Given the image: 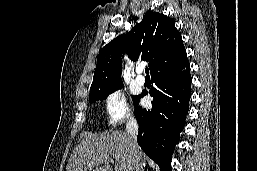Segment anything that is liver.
<instances>
[{"mask_svg":"<svg viewBox=\"0 0 257 171\" xmlns=\"http://www.w3.org/2000/svg\"><path fill=\"white\" fill-rule=\"evenodd\" d=\"M81 142L73 150L66 171H131L130 140L125 132L112 131L101 134H81ZM143 152L139 148V157ZM104 165V166H103Z\"/></svg>","mask_w":257,"mask_h":171,"instance_id":"liver-1","label":"liver"}]
</instances>
